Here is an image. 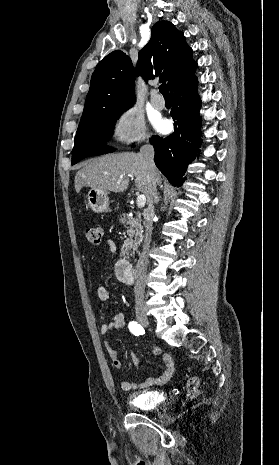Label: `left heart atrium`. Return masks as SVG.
<instances>
[{
	"instance_id": "left-heart-atrium-1",
	"label": "left heart atrium",
	"mask_w": 279,
	"mask_h": 465,
	"mask_svg": "<svg viewBox=\"0 0 279 465\" xmlns=\"http://www.w3.org/2000/svg\"><path fill=\"white\" fill-rule=\"evenodd\" d=\"M157 128L160 131H165L168 128V124L166 121L161 120L157 123Z\"/></svg>"
}]
</instances>
